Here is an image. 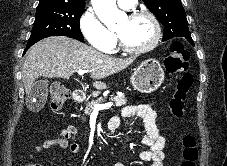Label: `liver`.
<instances>
[{"label":"liver","instance_id":"obj_1","mask_svg":"<svg viewBox=\"0 0 227 166\" xmlns=\"http://www.w3.org/2000/svg\"><path fill=\"white\" fill-rule=\"evenodd\" d=\"M135 58H113L65 36L47 37L31 47L22 68V80L28 95L39 77L69 79L78 70H88L96 89L105 87L99 81L117 73Z\"/></svg>","mask_w":227,"mask_h":166}]
</instances>
